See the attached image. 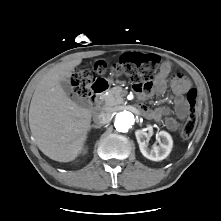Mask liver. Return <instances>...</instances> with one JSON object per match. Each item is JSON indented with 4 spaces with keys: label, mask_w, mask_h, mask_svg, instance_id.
I'll list each match as a JSON object with an SVG mask.
<instances>
[{
    "label": "liver",
    "mask_w": 221,
    "mask_h": 221,
    "mask_svg": "<svg viewBox=\"0 0 221 221\" xmlns=\"http://www.w3.org/2000/svg\"><path fill=\"white\" fill-rule=\"evenodd\" d=\"M81 59L60 63L42 76L29 108V125L43 154L70 162L80 154L90 130L92 110L77 105L61 87Z\"/></svg>",
    "instance_id": "obj_1"
}]
</instances>
